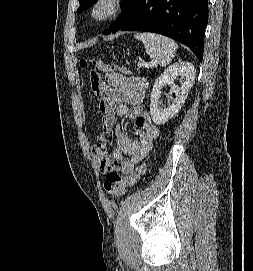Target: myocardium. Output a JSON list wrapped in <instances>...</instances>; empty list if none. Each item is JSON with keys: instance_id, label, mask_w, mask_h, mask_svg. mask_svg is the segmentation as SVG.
<instances>
[{"instance_id": "f54148a6", "label": "myocardium", "mask_w": 253, "mask_h": 271, "mask_svg": "<svg viewBox=\"0 0 253 271\" xmlns=\"http://www.w3.org/2000/svg\"><path fill=\"white\" fill-rule=\"evenodd\" d=\"M124 4V0H95L90 8V16L98 23L107 22L121 12ZM103 6H107V10L100 14L99 11Z\"/></svg>"}]
</instances>
